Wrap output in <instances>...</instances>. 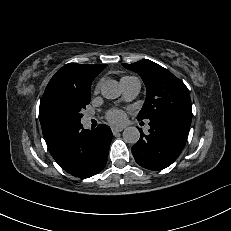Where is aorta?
<instances>
[{"instance_id":"1","label":"aorta","mask_w":231,"mask_h":231,"mask_svg":"<svg viewBox=\"0 0 231 231\" xmlns=\"http://www.w3.org/2000/svg\"><path fill=\"white\" fill-rule=\"evenodd\" d=\"M101 94L106 99H116L121 95V89L117 81L107 80L101 87ZM140 138V132L136 127L130 126L123 131V139L126 143L135 144Z\"/></svg>"}]
</instances>
